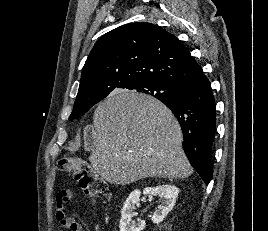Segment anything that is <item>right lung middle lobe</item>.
I'll list each match as a JSON object with an SVG mask.
<instances>
[{
	"instance_id": "dd1d6c3e",
	"label": "right lung middle lobe",
	"mask_w": 268,
	"mask_h": 231,
	"mask_svg": "<svg viewBox=\"0 0 268 231\" xmlns=\"http://www.w3.org/2000/svg\"><path fill=\"white\" fill-rule=\"evenodd\" d=\"M129 90H133L134 92H141L145 93L148 95H152L156 97L157 99H169L174 97L177 94V89L168 85H165L160 82H147V83H142L139 85H136L132 87ZM96 103L92 104H74L73 111L69 117V120L76 119L83 114H85L93 105Z\"/></svg>"
}]
</instances>
